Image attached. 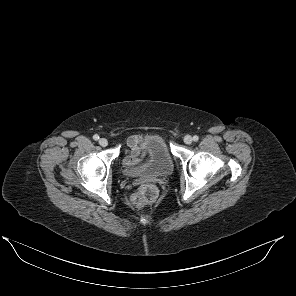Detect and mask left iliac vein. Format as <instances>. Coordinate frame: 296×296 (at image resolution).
<instances>
[{
  "label": "left iliac vein",
  "instance_id": "left-iliac-vein-1",
  "mask_svg": "<svg viewBox=\"0 0 296 296\" xmlns=\"http://www.w3.org/2000/svg\"><path fill=\"white\" fill-rule=\"evenodd\" d=\"M184 142L189 145L193 142V138L190 135H186L184 137Z\"/></svg>",
  "mask_w": 296,
  "mask_h": 296
}]
</instances>
